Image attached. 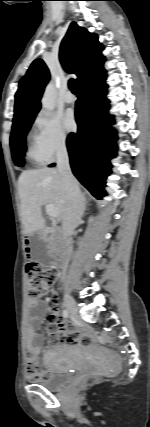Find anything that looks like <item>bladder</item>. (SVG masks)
I'll return each instance as SVG.
<instances>
[{
  "mask_svg": "<svg viewBox=\"0 0 150 427\" xmlns=\"http://www.w3.org/2000/svg\"><path fill=\"white\" fill-rule=\"evenodd\" d=\"M45 371L46 376L38 384L48 390H57L71 380L74 369L65 358L54 357L46 361Z\"/></svg>",
  "mask_w": 150,
  "mask_h": 427,
  "instance_id": "1",
  "label": "bladder"
}]
</instances>
